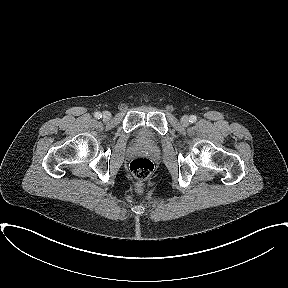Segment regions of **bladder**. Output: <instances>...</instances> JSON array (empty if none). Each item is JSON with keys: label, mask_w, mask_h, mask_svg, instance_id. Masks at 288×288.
Returning a JSON list of instances; mask_svg holds the SVG:
<instances>
[{"label": "bladder", "mask_w": 288, "mask_h": 288, "mask_svg": "<svg viewBox=\"0 0 288 288\" xmlns=\"http://www.w3.org/2000/svg\"><path fill=\"white\" fill-rule=\"evenodd\" d=\"M141 138L143 141H150V138L145 133L141 135Z\"/></svg>", "instance_id": "obj_1"}]
</instances>
